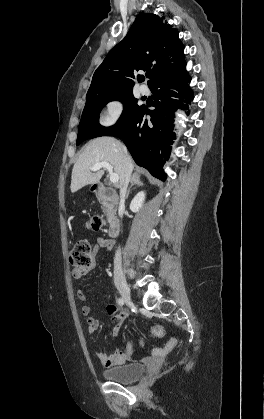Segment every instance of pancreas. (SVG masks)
<instances>
[{
  "mask_svg": "<svg viewBox=\"0 0 264 419\" xmlns=\"http://www.w3.org/2000/svg\"><path fill=\"white\" fill-rule=\"evenodd\" d=\"M102 210H103L104 213H106L108 215L109 211H110V207L108 205H103Z\"/></svg>",
  "mask_w": 264,
  "mask_h": 419,
  "instance_id": "cf45deb5",
  "label": "pancreas"
}]
</instances>
